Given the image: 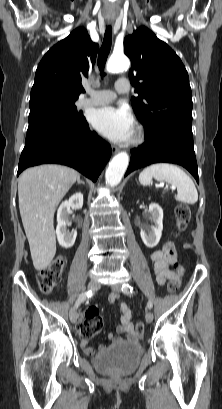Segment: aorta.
<instances>
[{
	"mask_svg": "<svg viewBox=\"0 0 222 409\" xmlns=\"http://www.w3.org/2000/svg\"><path fill=\"white\" fill-rule=\"evenodd\" d=\"M130 62L124 55H112L107 63V71L110 73H119L129 69ZM129 164V156L126 152H120L115 155L105 173L106 183L114 187L122 180Z\"/></svg>",
	"mask_w": 222,
	"mask_h": 409,
	"instance_id": "1",
	"label": "aorta"
}]
</instances>
